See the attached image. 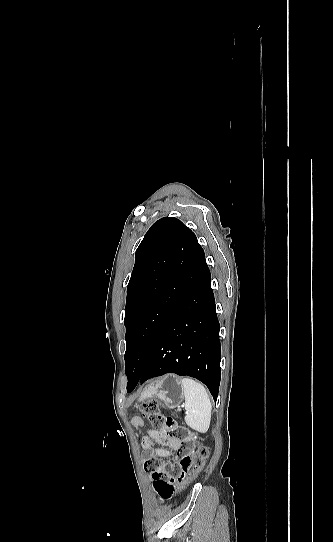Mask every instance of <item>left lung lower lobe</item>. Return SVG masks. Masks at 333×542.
<instances>
[{"instance_id": "1", "label": "left lung lower lobe", "mask_w": 333, "mask_h": 542, "mask_svg": "<svg viewBox=\"0 0 333 542\" xmlns=\"http://www.w3.org/2000/svg\"><path fill=\"white\" fill-rule=\"evenodd\" d=\"M206 264L185 298L161 328L141 373L128 379L127 392L140 382L166 373L187 375L203 382L214 400L221 370L219 321Z\"/></svg>"}]
</instances>
